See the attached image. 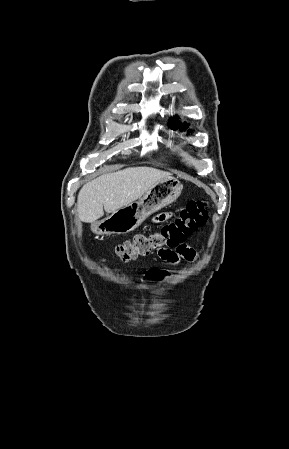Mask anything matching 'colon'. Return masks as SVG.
<instances>
[{"label": "colon", "instance_id": "obj_1", "mask_svg": "<svg viewBox=\"0 0 289 449\" xmlns=\"http://www.w3.org/2000/svg\"><path fill=\"white\" fill-rule=\"evenodd\" d=\"M207 203L202 200L190 201L179 215L159 231L150 234H139L130 240L118 244L114 248L115 255L122 261H131L139 256H146L155 250L176 248L209 219ZM145 278H165L162 268H149Z\"/></svg>", "mask_w": 289, "mask_h": 449}]
</instances>
